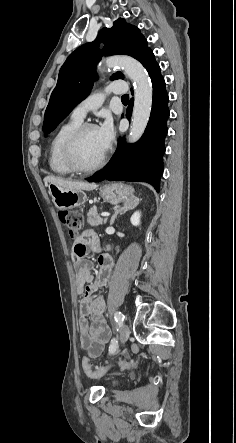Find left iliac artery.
Instances as JSON below:
<instances>
[{
    "instance_id": "obj_1",
    "label": "left iliac artery",
    "mask_w": 236,
    "mask_h": 443,
    "mask_svg": "<svg viewBox=\"0 0 236 443\" xmlns=\"http://www.w3.org/2000/svg\"><path fill=\"white\" fill-rule=\"evenodd\" d=\"M114 319L116 322H123L125 319V316L120 311H117L114 314ZM116 348H117V340L115 338H113L110 343L109 353L113 354L116 351Z\"/></svg>"
}]
</instances>
